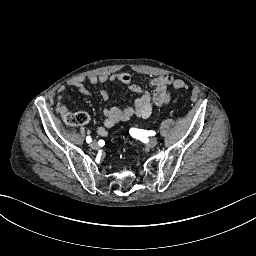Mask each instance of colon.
<instances>
[{
	"label": "colon",
	"instance_id": "obj_1",
	"mask_svg": "<svg viewBox=\"0 0 256 256\" xmlns=\"http://www.w3.org/2000/svg\"><path fill=\"white\" fill-rule=\"evenodd\" d=\"M174 87L177 91H181V92L188 90L187 84L179 80L174 82ZM87 120L88 118L86 115L79 113V114L70 115L68 122L70 124L81 125V124L87 123Z\"/></svg>",
	"mask_w": 256,
	"mask_h": 256
}]
</instances>
